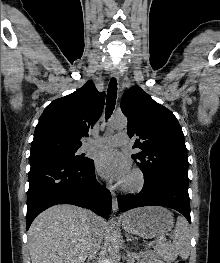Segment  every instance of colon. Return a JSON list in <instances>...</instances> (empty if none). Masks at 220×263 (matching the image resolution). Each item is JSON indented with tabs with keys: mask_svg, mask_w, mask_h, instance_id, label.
<instances>
[{
	"mask_svg": "<svg viewBox=\"0 0 220 263\" xmlns=\"http://www.w3.org/2000/svg\"><path fill=\"white\" fill-rule=\"evenodd\" d=\"M175 263H185L183 260H177Z\"/></svg>",
	"mask_w": 220,
	"mask_h": 263,
	"instance_id": "obj_1",
	"label": "colon"
}]
</instances>
